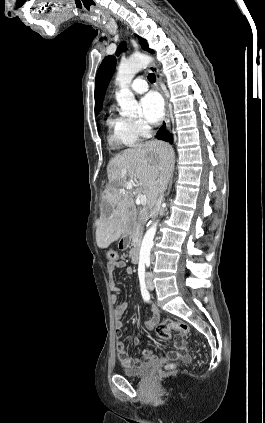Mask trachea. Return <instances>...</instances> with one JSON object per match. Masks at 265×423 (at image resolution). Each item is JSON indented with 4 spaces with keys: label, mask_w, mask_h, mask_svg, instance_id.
<instances>
[{
    "label": "trachea",
    "mask_w": 265,
    "mask_h": 423,
    "mask_svg": "<svg viewBox=\"0 0 265 423\" xmlns=\"http://www.w3.org/2000/svg\"><path fill=\"white\" fill-rule=\"evenodd\" d=\"M148 80H149L151 83H154V82L156 81V77H155V75H154L153 73H150V74L148 75Z\"/></svg>",
    "instance_id": "3493384b"
}]
</instances>
